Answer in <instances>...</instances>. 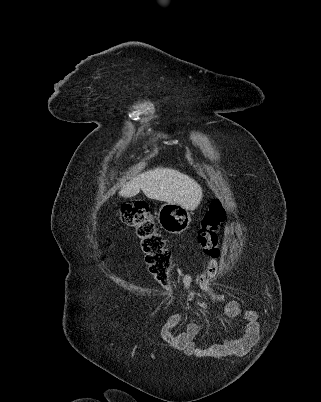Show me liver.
Wrapping results in <instances>:
<instances>
[{
    "instance_id": "1",
    "label": "liver",
    "mask_w": 321,
    "mask_h": 402,
    "mask_svg": "<svg viewBox=\"0 0 321 402\" xmlns=\"http://www.w3.org/2000/svg\"><path fill=\"white\" fill-rule=\"evenodd\" d=\"M140 190L149 198L195 210L202 199L200 185L188 175L158 167L132 178L119 191L122 197L136 196Z\"/></svg>"
}]
</instances>
